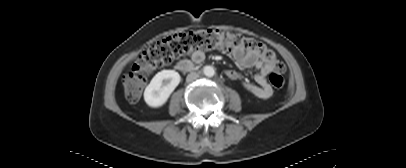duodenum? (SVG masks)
Here are the masks:
<instances>
[{
    "instance_id": "410a0bca",
    "label": "duodenum",
    "mask_w": 406,
    "mask_h": 168,
    "mask_svg": "<svg viewBox=\"0 0 406 168\" xmlns=\"http://www.w3.org/2000/svg\"><path fill=\"white\" fill-rule=\"evenodd\" d=\"M176 67L181 72H190L194 69V64L190 61L183 60L180 61Z\"/></svg>"
}]
</instances>
